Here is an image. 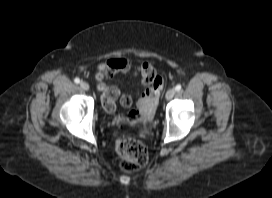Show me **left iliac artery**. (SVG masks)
<instances>
[{
    "label": "left iliac artery",
    "instance_id": "left-iliac-artery-1",
    "mask_svg": "<svg viewBox=\"0 0 272 198\" xmlns=\"http://www.w3.org/2000/svg\"><path fill=\"white\" fill-rule=\"evenodd\" d=\"M181 88H182V86H181L180 84H178V85H176L175 90H176V91H180Z\"/></svg>",
    "mask_w": 272,
    "mask_h": 198
}]
</instances>
